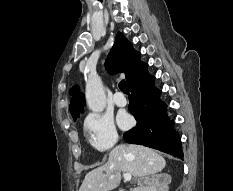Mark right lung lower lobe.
I'll use <instances>...</instances> for the list:
<instances>
[{"label": "right lung lower lobe", "mask_w": 233, "mask_h": 191, "mask_svg": "<svg viewBox=\"0 0 233 191\" xmlns=\"http://www.w3.org/2000/svg\"><path fill=\"white\" fill-rule=\"evenodd\" d=\"M141 63L129 79V111L137 123L124 134L128 143L142 144L183 159L181 139L173 130L174 122L166 114L167 105L159 96L161 91L154 86L155 77Z\"/></svg>", "instance_id": "obj_1"}]
</instances>
